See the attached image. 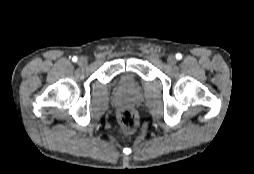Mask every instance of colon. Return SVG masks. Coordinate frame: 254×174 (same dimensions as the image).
Instances as JSON below:
<instances>
[{"label":"colon","instance_id":"colon-1","mask_svg":"<svg viewBox=\"0 0 254 174\" xmlns=\"http://www.w3.org/2000/svg\"><path fill=\"white\" fill-rule=\"evenodd\" d=\"M118 119L121 131L126 135L135 133L140 126V119L137 113L129 107L120 110Z\"/></svg>","mask_w":254,"mask_h":174}]
</instances>
